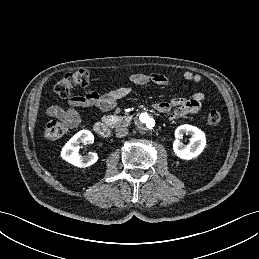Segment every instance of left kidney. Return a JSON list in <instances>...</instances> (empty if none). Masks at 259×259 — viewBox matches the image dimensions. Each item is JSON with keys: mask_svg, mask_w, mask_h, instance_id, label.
Returning a JSON list of instances; mask_svg holds the SVG:
<instances>
[{"mask_svg": "<svg viewBox=\"0 0 259 259\" xmlns=\"http://www.w3.org/2000/svg\"><path fill=\"white\" fill-rule=\"evenodd\" d=\"M183 134H190V143L184 145L180 139ZM176 140L173 143V150L176 156L184 160H191L201 154L206 146L205 133L192 125H181L175 130Z\"/></svg>", "mask_w": 259, "mask_h": 259, "instance_id": "5707ae66", "label": "left kidney"}]
</instances>
